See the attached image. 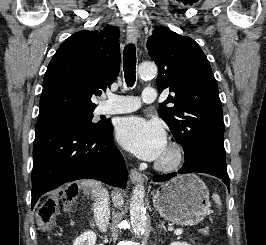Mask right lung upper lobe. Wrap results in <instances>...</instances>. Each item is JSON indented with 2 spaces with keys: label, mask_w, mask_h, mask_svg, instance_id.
Here are the masks:
<instances>
[{
  "label": "right lung upper lobe",
  "mask_w": 266,
  "mask_h": 245,
  "mask_svg": "<svg viewBox=\"0 0 266 245\" xmlns=\"http://www.w3.org/2000/svg\"><path fill=\"white\" fill-rule=\"evenodd\" d=\"M120 70L119 29L82 30L66 39L51 59L43 80L38 121L95 109L91 101Z\"/></svg>",
  "instance_id": "1"
}]
</instances>
